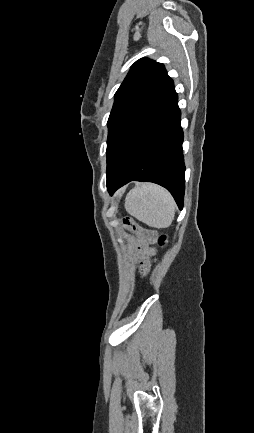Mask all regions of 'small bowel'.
I'll return each instance as SVG.
<instances>
[{
	"instance_id": "c3829d8e",
	"label": "small bowel",
	"mask_w": 254,
	"mask_h": 433,
	"mask_svg": "<svg viewBox=\"0 0 254 433\" xmlns=\"http://www.w3.org/2000/svg\"><path fill=\"white\" fill-rule=\"evenodd\" d=\"M148 239L150 240V239H151V237H150V236H148Z\"/></svg>"
}]
</instances>
